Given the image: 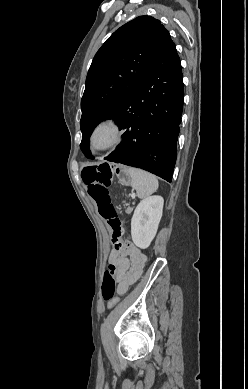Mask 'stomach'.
<instances>
[{"label":"stomach","mask_w":248,"mask_h":389,"mask_svg":"<svg viewBox=\"0 0 248 389\" xmlns=\"http://www.w3.org/2000/svg\"><path fill=\"white\" fill-rule=\"evenodd\" d=\"M112 170L114 171L115 176H118L119 181L124 185L130 184L129 171L124 166V164H113Z\"/></svg>","instance_id":"1"}]
</instances>
